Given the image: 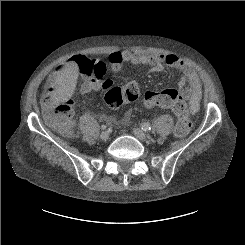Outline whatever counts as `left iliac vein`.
I'll list each match as a JSON object with an SVG mask.
<instances>
[{"instance_id":"obj_1","label":"left iliac vein","mask_w":245,"mask_h":245,"mask_svg":"<svg viewBox=\"0 0 245 245\" xmlns=\"http://www.w3.org/2000/svg\"><path fill=\"white\" fill-rule=\"evenodd\" d=\"M133 134L136 138H138L141 141H146L148 139L147 135L139 128H135L133 130Z\"/></svg>"}]
</instances>
